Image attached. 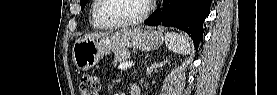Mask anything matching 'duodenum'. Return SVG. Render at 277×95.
Listing matches in <instances>:
<instances>
[{"label": "duodenum", "mask_w": 277, "mask_h": 95, "mask_svg": "<svg viewBox=\"0 0 277 95\" xmlns=\"http://www.w3.org/2000/svg\"><path fill=\"white\" fill-rule=\"evenodd\" d=\"M141 94V91H140V85L136 82H132L130 84V92H129V95H139Z\"/></svg>", "instance_id": "duodenum-1"}]
</instances>
